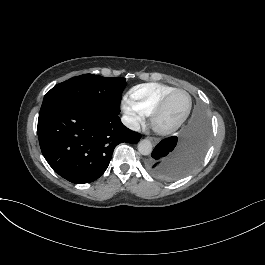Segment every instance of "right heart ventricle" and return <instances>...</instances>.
<instances>
[{
    "label": "right heart ventricle",
    "instance_id": "e07e8e85",
    "mask_svg": "<svg viewBox=\"0 0 265 265\" xmlns=\"http://www.w3.org/2000/svg\"><path fill=\"white\" fill-rule=\"evenodd\" d=\"M175 88L160 84H147L134 88L131 97L144 115H153L160 100Z\"/></svg>",
    "mask_w": 265,
    "mask_h": 265
}]
</instances>
